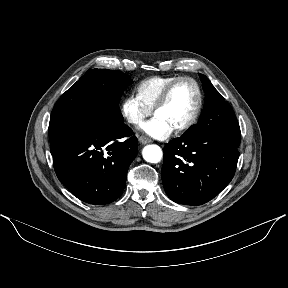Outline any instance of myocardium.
Wrapping results in <instances>:
<instances>
[{
	"mask_svg": "<svg viewBox=\"0 0 288 288\" xmlns=\"http://www.w3.org/2000/svg\"><path fill=\"white\" fill-rule=\"evenodd\" d=\"M183 81H188V82L192 83L193 86L195 87L196 92H197V103H196L195 110H194L192 116L190 117V119L187 122H185L184 124L173 128L176 133H180V132H183V131L190 129L192 126H194L197 123V121L199 119V116H200L201 110H202V106H203V94H202V90H201L199 83L194 78L189 77V76L176 77L165 87V89L160 94L159 98L157 99V101L154 105V111L156 113L162 106H164L166 104V102L168 101V99L171 95V92L173 91L175 86L177 84H179L180 82H183Z\"/></svg>",
	"mask_w": 288,
	"mask_h": 288,
	"instance_id": "1",
	"label": "myocardium"
}]
</instances>
